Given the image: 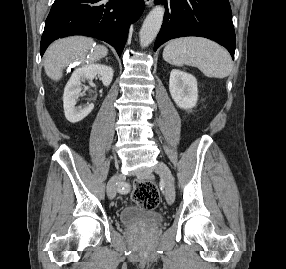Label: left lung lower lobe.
Instances as JSON below:
<instances>
[{"mask_svg":"<svg viewBox=\"0 0 286 269\" xmlns=\"http://www.w3.org/2000/svg\"><path fill=\"white\" fill-rule=\"evenodd\" d=\"M166 8L154 51L164 42L183 36L212 39L234 58L236 38L228 0H154Z\"/></svg>","mask_w":286,"mask_h":269,"instance_id":"1","label":"left lung lower lobe"}]
</instances>
